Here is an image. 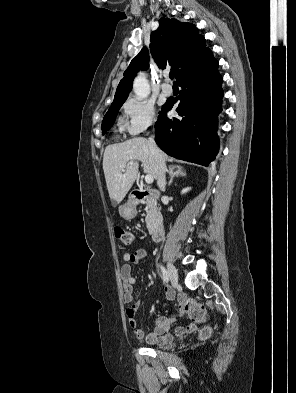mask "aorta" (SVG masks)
Listing matches in <instances>:
<instances>
[{"label":"aorta","instance_id":"obj_1","mask_svg":"<svg viewBox=\"0 0 296 393\" xmlns=\"http://www.w3.org/2000/svg\"><path fill=\"white\" fill-rule=\"evenodd\" d=\"M133 91L138 99L146 98L150 93L148 81L143 73H140L133 84Z\"/></svg>","mask_w":296,"mask_h":393}]
</instances>
